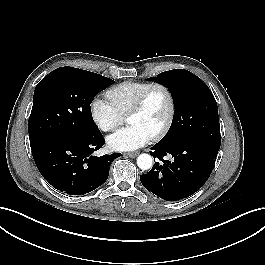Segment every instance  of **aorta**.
Instances as JSON below:
<instances>
[{
  "label": "aorta",
  "mask_w": 265,
  "mask_h": 265,
  "mask_svg": "<svg viewBox=\"0 0 265 265\" xmlns=\"http://www.w3.org/2000/svg\"><path fill=\"white\" fill-rule=\"evenodd\" d=\"M137 165L142 170L151 169L153 166V159L149 154H140L137 158Z\"/></svg>",
  "instance_id": "762f6f07"
}]
</instances>
